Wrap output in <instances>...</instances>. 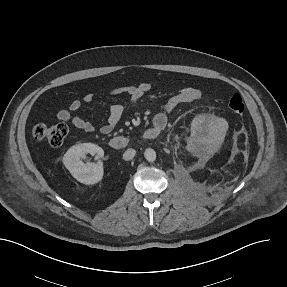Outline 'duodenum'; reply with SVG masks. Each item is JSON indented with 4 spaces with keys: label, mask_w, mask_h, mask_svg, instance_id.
I'll list each match as a JSON object with an SVG mask.
<instances>
[{
    "label": "duodenum",
    "mask_w": 287,
    "mask_h": 287,
    "mask_svg": "<svg viewBox=\"0 0 287 287\" xmlns=\"http://www.w3.org/2000/svg\"><path fill=\"white\" fill-rule=\"evenodd\" d=\"M160 129L157 127H151L146 129L142 136L147 140H154L156 139L160 134ZM129 145V139L124 136H117L113 137L109 140V146L113 149H123L126 148Z\"/></svg>",
    "instance_id": "obj_1"
}]
</instances>
